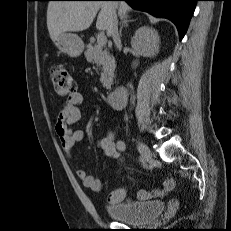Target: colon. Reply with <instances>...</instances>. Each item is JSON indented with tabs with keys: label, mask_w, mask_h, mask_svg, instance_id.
<instances>
[{
	"label": "colon",
	"mask_w": 231,
	"mask_h": 231,
	"mask_svg": "<svg viewBox=\"0 0 231 231\" xmlns=\"http://www.w3.org/2000/svg\"><path fill=\"white\" fill-rule=\"evenodd\" d=\"M55 93L60 97H68L75 93L76 84L72 75L61 64H55L50 71Z\"/></svg>",
	"instance_id": "1"
}]
</instances>
